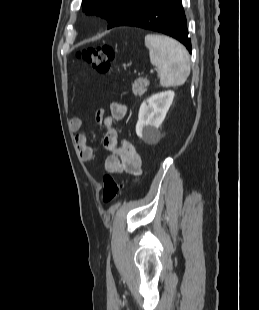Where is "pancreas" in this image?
Segmentation results:
<instances>
[{
  "instance_id": "pancreas-1",
  "label": "pancreas",
  "mask_w": 259,
  "mask_h": 310,
  "mask_svg": "<svg viewBox=\"0 0 259 310\" xmlns=\"http://www.w3.org/2000/svg\"><path fill=\"white\" fill-rule=\"evenodd\" d=\"M148 85H149V81L147 79H144V78L137 79L132 84L133 94L142 96L147 91Z\"/></svg>"
}]
</instances>
